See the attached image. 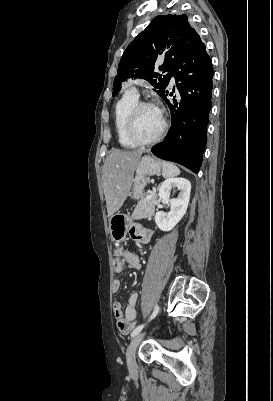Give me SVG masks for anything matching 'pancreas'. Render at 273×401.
Masks as SVG:
<instances>
[{
    "label": "pancreas",
    "mask_w": 273,
    "mask_h": 401,
    "mask_svg": "<svg viewBox=\"0 0 273 401\" xmlns=\"http://www.w3.org/2000/svg\"><path fill=\"white\" fill-rule=\"evenodd\" d=\"M152 198L150 201H147L146 198H141L137 207L134 209V213H132V219H147V217H153L155 213V205H156V192H152Z\"/></svg>",
    "instance_id": "obj_1"
}]
</instances>
